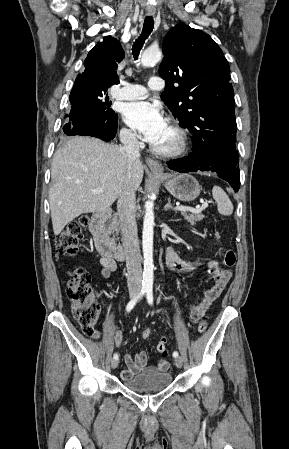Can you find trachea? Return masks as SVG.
<instances>
[{
	"label": "trachea",
	"mask_w": 289,
	"mask_h": 449,
	"mask_svg": "<svg viewBox=\"0 0 289 449\" xmlns=\"http://www.w3.org/2000/svg\"><path fill=\"white\" fill-rule=\"evenodd\" d=\"M153 28H154L153 17L147 16L144 20L142 33H141L140 37L134 42V45L132 48V54L136 60L139 56L140 50L142 49L145 40L151 34Z\"/></svg>",
	"instance_id": "1"
}]
</instances>
